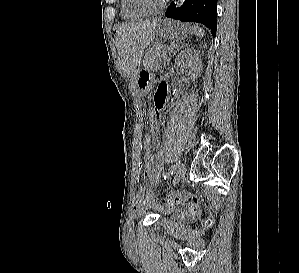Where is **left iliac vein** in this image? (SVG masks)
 <instances>
[{"label": "left iliac vein", "instance_id": "1", "mask_svg": "<svg viewBox=\"0 0 299 273\" xmlns=\"http://www.w3.org/2000/svg\"><path fill=\"white\" fill-rule=\"evenodd\" d=\"M185 173H186V165L185 163H181L174 176L173 184L178 183L185 176Z\"/></svg>", "mask_w": 299, "mask_h": 273}]
</instances>
